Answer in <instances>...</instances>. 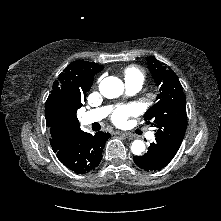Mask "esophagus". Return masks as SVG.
I'll list each match as a JSON object with an SVG mask.
<instances>
[{
	"label": "esophagus",
	"mask_w": 221,
	"mask_h": 221,
	"mask_svg": "<svg viewBox=\"0 0 221 221\" xmlns=\"http://www.w3.org/2000/svg\"><path fill=\"white\" fill-rule=\"evenodd\" d=\"M118 134L121 135L122 137L126 138V139H133V135H131L129 133H123V132L119 133L118 132Z\"/></svg>",
	"instance_id": "obj_1"
}]
</instances>
